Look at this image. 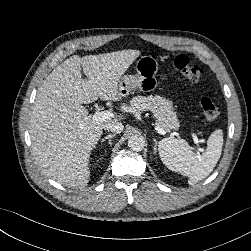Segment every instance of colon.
Listing matches in <instances>:
<instances>
[{
	"label": "colon",
	"instance_id": "5ec220e1",
	"mask_svg": "<svg viewBox=\"0 0 251 251\" xmlns=\"http://www.w3.org/2000/svg\"><path fill=\"white\" fill-rule=\"evenodd\" d=\"M174 64L176 69L190 81L198 82L204 74L202 67L192 62L186 55H178ZM200 104L207 121H214L219 117L220 111L210 98L203 97Z\"/></svg>",
	"mask_w": 251,
	"mask_h": 251
}]
</instances>
